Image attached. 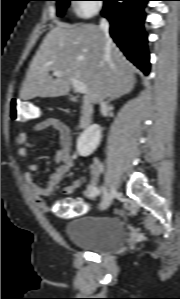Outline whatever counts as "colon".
I'll use <instances>...</instances> for the list:
<instances>
[{
	"label": "colon",
	"mask_w": 180,
	"mask_h": 299,
	"mask_svg": "<svg viewBox=\"0 0 180 299\" xmlns=\"http://www.w3.org/2000/svg\"><path fill=\"white\" fill-rule=\"evenodd\" d=\"M40 108L28 101L13 98L10 101V117L17 124L25 125L39 119ZM87 205L81 200L67 199L56 203V214L64 217H75L87 211Z\"/></svg>",
	"instance_id": "5ec220e1"
}]
</instances>
